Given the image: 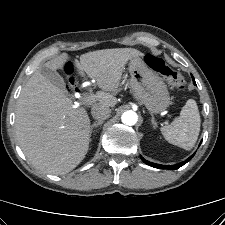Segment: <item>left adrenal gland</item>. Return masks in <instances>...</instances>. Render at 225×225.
Segmentation results:
<instances>
[{"mask_svg": "<svg viewBox=\"0 0 225 225\" xmlns=\"http://www.w3.org/2000/svg\"><path fill=\"white\" fill-rule=\"evenodd\" d=\"M151 122H152L153 127L156 128L157 127V123L155 121V118H154L153 114H151Z\"/></svg>", "mask_w": 225, "mask_h": 225, "instance_id": "obj_1", "label": "left adrenal gland"}]
</instances>
